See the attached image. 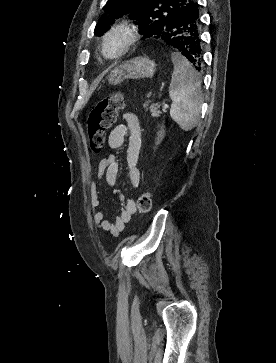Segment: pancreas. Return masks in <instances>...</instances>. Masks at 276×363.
Returning a JSON list of instances; mask_svg holds the SVG:
<instances>
[{
    "label": "pancreas",
    "instance_id": "cf45deb5",
    "mask_svg": "<svg viewBox=\"0 0 276 363\" xmlns=\"http://www.w3.org/2000/svg\"><path fill=\"white\" fill-rule=\"evenodd\" d=\"M148 104H149V102H146L143 104V107L146 108V110H148V108H147ZM158 108H159L158 104H152L149 107V110L152 113L153 117H158L161 114V112L158 110Z\"/></svg>",
    "mask_w": 276,
    "mask_h": 363
}]
</instances>
